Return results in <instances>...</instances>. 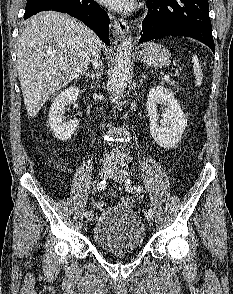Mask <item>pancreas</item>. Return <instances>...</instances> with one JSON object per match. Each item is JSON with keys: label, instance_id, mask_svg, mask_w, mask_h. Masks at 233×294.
Segmentation results:
<instances>
[{"label": "pancreas", "instance_id": "cf45deb5", "mask_svg": "<svg viewBox=\"0 0 233 294\" xmlns=\"http://www.w3.org/2000/svg\"><path fill=\"white\" fill-rule=\"evenodd\" d=\"M169 85H172V86H174V87H177V85L175 84L174 81L169 82Z\"/></svg>", "mask_w": 233, "mask_h": 294}]
</instances>
